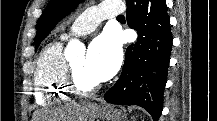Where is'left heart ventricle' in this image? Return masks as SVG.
Listing matches in <instances>:
<instances>
[{
  "label": "left heart ventricle",
  "instance_id": "b2bd125f",
  "mask_svg": "<svg viewBox=\"0 0 217 121\" xmlns=\"http://www.w3.org/2000/svg\"><path fill=\"white\" fill-rule=\"evenodd\" d=\"M71 64L82 84L89 86L98 83L87 70L85 55L74 59Z\"/></svg>",
  "mask_w": 217,
  "mask_h": 121
}]
</instances>
